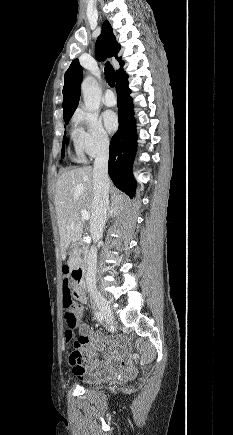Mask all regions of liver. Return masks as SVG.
Returning a JSON list of instances; mask_svg holds the SVG:
<instances>
[{
	"label": "liver",
	"mask_w": 233,
	"mask_h": 435,
	"mask_svg": "<svg viewBox=\"0 0 233 435\" xmlns=\"http://www.w3.org/2000/svg\"><path fill=\"white\" fill-rule=\"evenodd\" d=\"M94 169L90 166L63 172L57 179L55 209L60 234L61 252L65 254L69 245L78 241L83 233L81 210L92 215ZM124 196L114 193L111 206L123 210Z\"/></svg>",
	"instance_id": "obj_1"
}]
</instances>
